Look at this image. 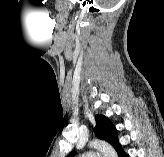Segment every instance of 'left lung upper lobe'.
Instances as JSON below:
<instances>
[{"label": "left lung upper lobe", "mask_w": 164, "mask_h": 157, "mask_svg": "<svg viewBox=\"0 0 164 157\" xmlns=\"http://www.w3.org/2000/svg\"><path fill=\"white\" fill-rule=\"evenodd\" d=\"M95 120H96L95 131L98 138L109 142L113 146L119 142L117 130L107 117L103 115H96ZM74 156H75V151L71 152L66 157H74Z\"/></svg>", "instance_id": "left-lung-upper-lobe-1"}]
</instances>
